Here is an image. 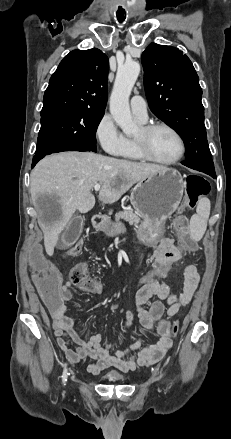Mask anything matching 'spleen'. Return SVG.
<instances>
[{
	"instance_id": "spleen-1",
	"label": "spleen",
	"mask_w": 231,
	"mask_h": 439,
	"mask_svg": "<svg viewBox=\"0 0 231 439\" xmlns=\"http://www.w3.org/2000/svg\"><path fill=\"white\" fill-rule=\"evenodd\" d=\"M210 215V201L208 198H202L197 205L196 214L190 220V232L195 241L201 240L206 228Z\"/></svg>"
}]
</instances>
